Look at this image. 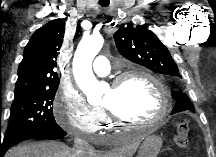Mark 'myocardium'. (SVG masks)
<instances>
[{"label": "myocardium", "mask_w": 216, "mask_h": 157, "mask_svg": "<svg viewBox=\"0 0 216 157\" xmlns=\"http://www.w3.org/2000/svg\"><path fill=\"white\" fill-rule=\"evenodd\" d=\"M132 77L143 78L149 81L156 88L161 99L160 109L157 115L150 120L135 121V120L128 119L126 117H122L118 115L115 111H113L110 107L103 105V108L105 109L110 122H112L115 125L124 124V125L136 126V127L152 126L161 123L169 113L170 99H169L168 91L155 76L142 69H132L114 78L113 81L111 82V88L113 90L119 89L127 79Z\"/></svg>", "instance_id": "myocardium-1"}]
</instances>
